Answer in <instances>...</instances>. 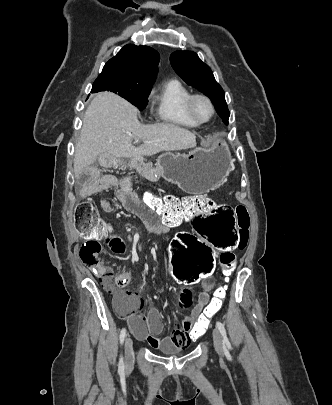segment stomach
<instances>
[{
	"label": "stomach",
	"mask_w": 332,
	"mask_h": 405,
	"mask_svg": "<svg viewBox=\"0 0 332 405\" xmlns=\"http://www.w3.org/2000/svg\"><path fill=\"white\" fill-rule=\"evenodd\" d=\"M228 147L221 143L211 150L197 148L188 154H161L155 170L189 194L206 193L219 186L231 169Z\"/></svg>",
	"instance_id": "0dacf381"
}]
</instances>
